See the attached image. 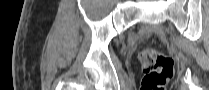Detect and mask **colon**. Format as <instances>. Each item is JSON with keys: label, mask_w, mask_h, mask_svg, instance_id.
Here are the masks:
<instances>
[{"label": "colon", "mask_w": 209, "mask_h": 90, "mask_svg": "<svg viewBox=\"0 0 209 90\" xmlns=\"http://www.w3.org/2000/svg\"><path fill=\"white\" fill-rule=\"evenodd\" d=\"M139 59L144 73L141 90H165L173 76V59L153 48L142 50Z\"/></svg>", "instance_id": "obj_1"}]
</instances>
